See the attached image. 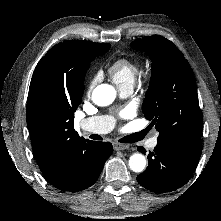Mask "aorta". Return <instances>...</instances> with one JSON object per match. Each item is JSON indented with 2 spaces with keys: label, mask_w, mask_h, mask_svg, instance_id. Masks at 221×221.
Instances as JSON below:
<instances>
[{
  "label": "aorta",
  "mask_w": 221,
  "mask_h": 221,
  "mask_svg": "<svg viewBox=\"0 0 221 221\" xmlns=\"http://www.w3.org/2000/svg\"><path fill=\"white\" fill-rule=\"evenodd\" d=\"M116 97V90L108 84L97 86L92 93V100L98 106L110 105ZM129 167L134 172H142L146 167V159L141 153H134L129 158Z\"/></svg>",
  "instance_id": "obj_1"
}]
</instances>
